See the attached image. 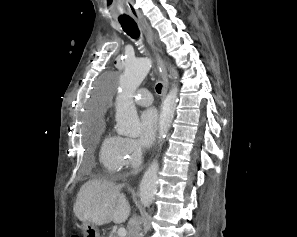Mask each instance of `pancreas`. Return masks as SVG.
I'll return each instance as SVG.
<instances>
[{"mask_svg":"<svg viewBox=\"0 0 297 237\" xmlns=\"http://www.w3.org/2000/svg\"><path fill=\"white\" fill-rule=\"evenodd\" d=\"M113 237H119L118 235L114 234Z\"/></svg>","mask_w":297,"mask_h":237,"instance_id":"1","label":"pancreas"}]
</instances>
